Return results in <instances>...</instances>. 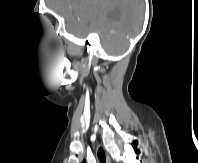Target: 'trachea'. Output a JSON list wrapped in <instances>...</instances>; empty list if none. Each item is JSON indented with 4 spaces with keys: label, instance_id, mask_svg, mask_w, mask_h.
Segmentation results:
<instances>
[{
    "label": "trachea",
    "instance_id": "obj_1",
    "mask_svg": "<svg viewBox=\"0 0 198 163\" xmlns=\"http://www.w3.org/2000/svg\"><path fill=\"white\" fill-rule=\"evenodd\" d=\"M98 159L101 163H106L105 152L102 148H99L98 150Z\"/></svg>",
    "mask_w": 198,
    "mask_h": 163
}]
</instances>
